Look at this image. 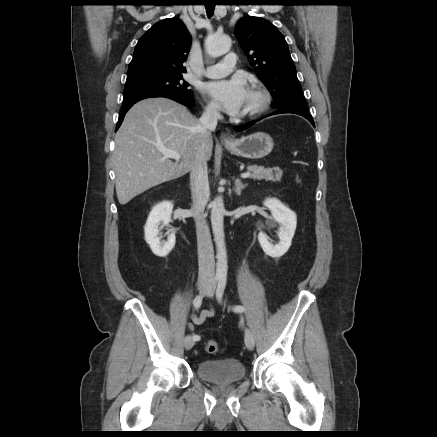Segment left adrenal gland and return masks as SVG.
Returning a JSON list of instances; mask_svg holds the SVG:
<instances>
[{
  "label": "left adrenal gland",
  "mask_w": 437,
  "mask_h": 437,
  "mask_svg": "<svg viewBox=\"0 0 437 437\" xmlns=\"http://www.w3.org/2000/svg\"><path fill=\"white\" fill-rule=\"evenodd\" d=\"M248 184H243L242 182H241V180L240 179H236L235 180V188H234V191H235V193L238 195V196H240L241 195V191L247 186Z\"/></svg>",
  "instance_id": "obj_1"
}]
</instances>
